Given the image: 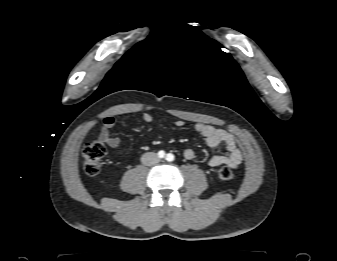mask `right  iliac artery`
<instances>
[{"label": "right iliac artery", "instance_id": "right-iliac-artery-1", "mask_svg": "<svg viewBox=\"0 0 337 261\" xmlns=\"http://www.w3.org/2000/svg\"><path fill=\"white\" fill-rule=\"evenodd\" d=\"M158 156H159L160 158H163V157L165 156V152H164L163 150L159 151V152H158Z\"/></svg>", "mask_w": 337, "mask_h": 261}]
</instances>
